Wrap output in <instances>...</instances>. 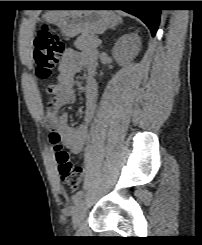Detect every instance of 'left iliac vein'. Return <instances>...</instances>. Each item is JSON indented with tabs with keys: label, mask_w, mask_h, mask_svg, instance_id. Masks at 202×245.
Here are the masks:
<instances>
[{
	"label": "left iliac vein",
	"mask_w": 202,
	"mask_h": 245,
	"mask_svg": "<svg viewBox=\"0 0 202 245\" xmlns=\"http://www.w3.org/2000/svg\"><path fill=\"white\" fill-rule=\"evenodd\" d=\"M87 211V205L84 199L79 200L73 208L72 223L74 228L78 227L81 223L85 213Z\"/></svg>",
	"instance_id": "left-iliac-vein-1"
}]
</instances>
